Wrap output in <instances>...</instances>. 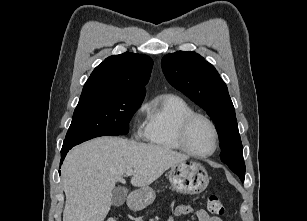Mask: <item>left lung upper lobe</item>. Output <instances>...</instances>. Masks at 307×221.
I'll return each instance as SVG.
<instances>
[{
	"label": "left lung upper lobe",
	"instance_id": "left-lung-upper-lobe-1",
	"mask_svg": "<svg viewBox=\"0 0 307 221\" xmlns=\"http://www.w3.org/2000/svg\"><path fill=\"white\" fill-rule=\"evenodd\" d=\"M161 65L168 82L205 109L216 123L222 162L244 178L243 146L234 106L215 67L192 51L167 54Z\"/></svg>",
	"mask_w": 307,
	"mask_h": 221
}]
</instances>
